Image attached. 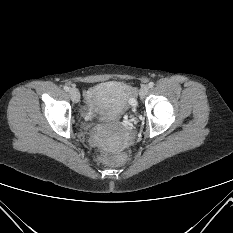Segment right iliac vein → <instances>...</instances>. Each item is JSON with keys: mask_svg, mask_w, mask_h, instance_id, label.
I'll list each match as a JSON object with an SVG mask.
<instances>
[{"mask_svg": "<svg viewBox=\"0 0 233 233\" xmlns=\"http://www.w3.org/2000/svg\"><path fill=\"white\" fill-rule=\"evenodd\" d=\"M70 97L73 102H78L80 99V94L76 88H71L69 90Z\"/></svg>", "mask_w": 233, "mask_h": 233, "instance_id": "1", "label": "right iliac vein"}]
</instances>
